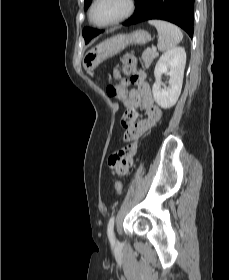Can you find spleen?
Wrapping results in <instances>:
<instances>
[{"label":"spleen","instance_id":"3e777b00","mask_svg":"<svg viewBox=\"0 0 229 280\" xmlns=\"http://www.w3.org/2000/svg\"><path fill=\"white\" fill-rule=\"evenodd\" d=\"M149 24L157 29L158 49L160 51H168L181 42L183 34L181 30L174 24L162 20H149Z\"/></svg>","mask_w":229,"mask_h":280}]
</instances>
